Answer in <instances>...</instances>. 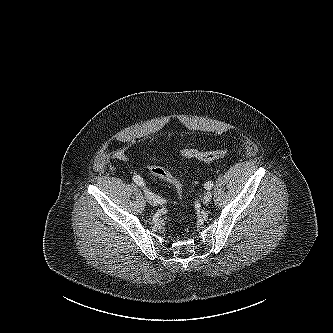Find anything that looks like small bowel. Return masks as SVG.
I'll return each mask as SVG.
<instances>
[{
	"instance_id": "obj_1",
	"label": "small bowel",
	"mask_w": 333,
	"mask_h": 333,
	"mask_svg": "<svg viewBox=\"0 0 333 333\" xmlns=\"http://www.w3.org/2000/svg\"><path fill=\"white\" fill-rule=\"evenodd\" d=\"M131 146L130 143H126L122 146H120L119 148H117L116 150H114L111 154V157L115 160H120L123 162H129L130 159L127 155V151L129 149V147Z\"/></svg>"
}]
</instances>
